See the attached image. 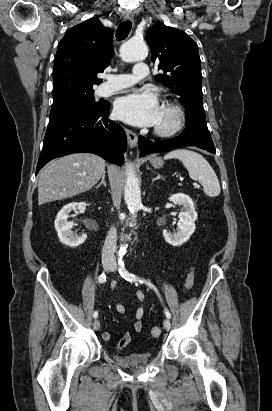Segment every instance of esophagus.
Wrapping results in <instances>:
<instances>
[{"label": "esophagus", "mask_w": 272, "mask_h": 411, "mask_svg": "<svg viewBox=\"0 0 272 411\" xmlns=\"http://www.w3.org/2000/svg\"><path fill=\"white\" fill-rule=\"evenodd\" d=\"M124 19L126 21H133L134 19V15L132 12H127L124 15ZM126 135H127V139H128V144L131 148H135L137 145V135L136 133H134L133 131L129 130V129H125Z\"/></svg>", "instance_id": "obj_1"}]
</instances>
